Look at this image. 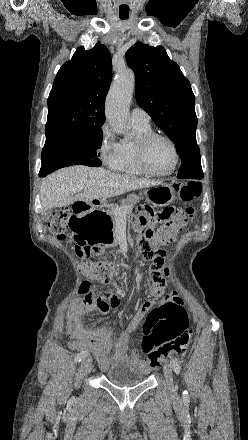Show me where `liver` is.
<instances>
[{
	"instance_id": "6515ba94",
	"label": "liver",
	"mask_w": 248,
	"mask_h": 440,
	"mask_svg": "<svg viewBox=\"0 0 248 440\" xmlns=\"http://www.w3.org/2000/svg\"><path fill=\"white\" fill-rule=\"evenodd\" d=\"M160 182L112 173L82 165L62 168L48 175L40 187L42 210L68 206L75 201H91L149 188ZM80 191L74 192L75 190ZM73 194H75L73 196Z\"/></svg>"
}]
</instances>
